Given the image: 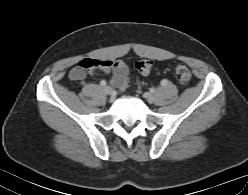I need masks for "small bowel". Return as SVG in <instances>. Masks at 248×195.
<instances>
[{
    "label": "small bowel",
    "mask_w": 248,
    "mask_h": 195,
    "mask_svg": "<svg viewBox=\"0 0 248 195\" xmlns=\"http://www.w3.org/2000/svg\"><path fill=\"white\" fill-rule=\"evenodd\" d=\"M91 60L93 61L95 68H93L90 72H100L106 75L112 74L110 82L113 87L118 88L119 80L126 77L128 74L127 66L122 60Z\"/></svg>",
    "instance_id": "c3829d8e"
}]
</instances>
